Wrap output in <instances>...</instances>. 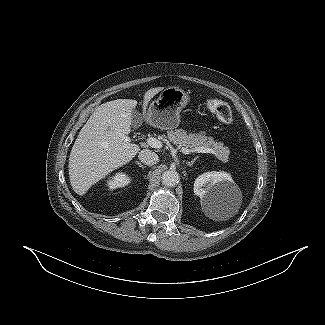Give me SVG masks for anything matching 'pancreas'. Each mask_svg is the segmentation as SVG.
<instances>
[{
	"mask_svg": "<svg viewBox=\"0 0 325 325\" xmlns=\"http://www.w3.org/2000/svg\"><path fill=\"white\" fill-rule=\"evenodd\" d=\"M167 137L170 142L174 143L178 147L194 149L197 147H211L215 156L226 163L229 158L230 151L228 147L223 146L221 142H215L213 138L207 137L205 132L200 133H187L183 129H175L167 132Z\"/></svg>",
	"mask_w": 325,
	"mask_h": 325,
	"instance_id": "obj_1",
	"label": "pancreas"
}]
</instances>
